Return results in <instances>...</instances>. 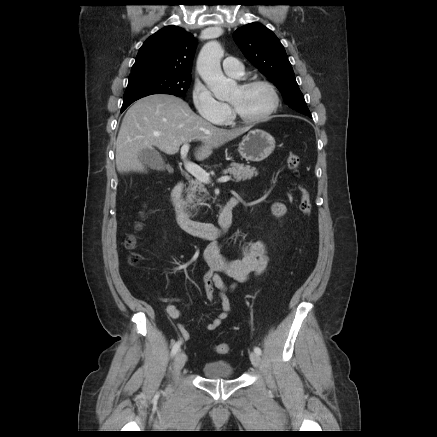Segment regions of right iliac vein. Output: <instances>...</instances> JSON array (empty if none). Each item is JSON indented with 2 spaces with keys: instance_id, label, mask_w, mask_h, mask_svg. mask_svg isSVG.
Listing matches in <instances>:
<instances>
[{
  "instance_id": "obj_1",
  "label": "right iliac vein",
  "mask_w": 437,
  "mask_h": 437,
  "mask_svg": "<svg viewBox=\"0 0 437 437\" xmlns=\"http://www.w3.org/2000/svg\"><path fill=\"white\" fill-rule=\"evenodd\" d=\"M186 363V355L184 352L179 351L174 360V371L176 374H179L181 369L184 367Z\"/></svg>"
}]
</instances>
